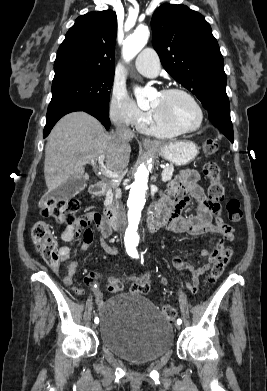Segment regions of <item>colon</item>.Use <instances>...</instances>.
<instances>
[{
  "label": "colon",
  "instance_id": "5ec220e1",
  "mask_svg": "<svg viewBox=\"0 0 267 391\" xmlns=\"http://www.w3.org/2000/svg\"><path fill=\"white\" fill-rule=\"evenodd\" d=\"M218 150V144L215 140L208 139L203 144V152L206 156L215 154ZM204 173L210 181L208 188L209 198L213 202H218L224 199L225 187L220 180V169L214 162H208L204 166ZM227 212L229 219L233 222H238L242 219L243 212L240 201L235 197H230L227 205ZM79 209L78 201L74 199L57 200L54 198H47L43 201L41 207V214L44 217L54 219L56 222L67 225H74L82 221H88V216L77 217ZM32 241L36 248L40 251L44 261L52 268H57L61 262L58 244L56 238L48 223L39 221L34 224L32 229ZM231 258V251L225 249L219 255L213 264L209 274L208 282L214 283L223 273L227 263ZM123 288L122 280L118 278H111L108 282V290L111 293H118ZM149 281L146 275L138 277L131 285V292L133 294H146L149 291ZM163 315L168 321H173L177 312L175 308L170 305H165L162 308Z\"/></svg>",
  "mask_w": 267,
  "mask_h": 391
}]
</instances>
